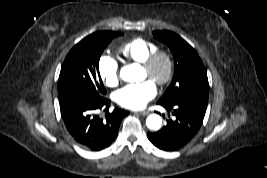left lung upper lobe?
<instances>
[{"instance_id": "1", "label": "left lung upper lobe", "mask_w": 267, "mask_h": 178, "mask_svg": "<svg viewBox=\"0 0 267 178\" xmlns=\"http://www.w3.org/2000/svg\"><path fill=\"white\" fill-rule=\"evenodd\" d=\"M153 35L169 46L175 64L173 80L158 102L197 103L207 107L209 83L206 69L197 52L171 31H155Z\"/></svg>"}]
</instances>
